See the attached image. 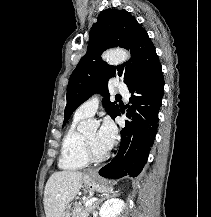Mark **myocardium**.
Masks as SVG:
<instances>
[{
    "mask_svg": "<svg viewBox=\"0 0 211 217\" xmlns=\"http://www.w3.org/2000/svg\"><path fill=\"white\" fill-rule=\"evenodd\" d=\"M82 144L85 157L89 162H103L109 157V153L107 151L103 153H96L85 135H82Z\"/></svg>",
    "mask_w": 211,
    "mask_h": 217,
    "instance_id": "obj_1",
    "label": "myocardium"
}]
</instances>
